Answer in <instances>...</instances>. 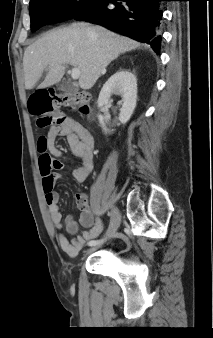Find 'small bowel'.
Instances as JSON below:
<instances>
[{"label":"small bowel","instance_id":"1","mask_svg":"<svg viewBox=\"0 0 213 338\" xmlns=\"http://www.w3.org/2000/svg\"><path fill=\"white\" fill-rule=\"evenodd\" d=\"M59 137H66L72 154L81 160V165L73 170V177L77 182H84L93 170L95 142L93 135L79 121L71 117H66L61 125L51 127L46 134L38 136L36 141L40 153V176L50 221L61 250L68 257L74 258L86 242L101 233L103 226L99 220L93 222L86 195L78 193L75 202L77 208L83 211V215L79 223L71 217L65 221L66 231L74 236L73 239L69 241L62 231L64 224L59 210L60 196L54 189V182L62 177L60 171L64 166L61 160L64 158V153L56 146ZM80 226L84 228L81 231Z\"/></svg>","mask_w":213,"mask_h":338}]
</instances>
